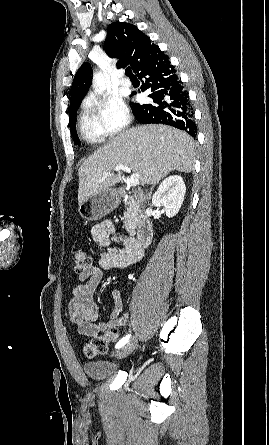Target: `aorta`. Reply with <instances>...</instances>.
<instances>
[{
	"instance_id": "obj_1",
	"label": "aorta",
	"mask_w": 269,
	"mask_h": 445,
	"mask_svg": "<svg viewBox=\"0 0 269 445\" xmlns=\"http://www.w3.org/2000/svg\"><path fill=\"white\" fill-rule=\"evenodd\" d=\"M93 80H94L95 86L98 88V90L100 92L105 90V79L100 72L94 73Z\"/></svg>"
}]
</instances>
